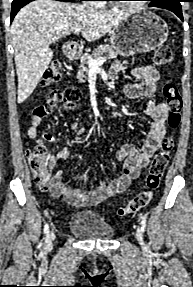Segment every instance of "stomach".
Here are the masks:
<instances>
[{
    "label": "stomach",
    "instance_id": "1",
    "mask_svg": "<svg viewBox=\"0 0 193 287\" xmlns=\"http://www.w3.org/2000/svg\"><path fill=\"white\" fill-rule=\"evenodd\" d=\"M166 22L156 14L138 10L111 30L110 43L122 56L147 53L161 46L168 37Z\"/></svg>",
    "mask_w": 193,
    "mask_h": 287
}]
</instances>
